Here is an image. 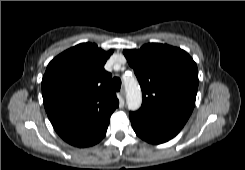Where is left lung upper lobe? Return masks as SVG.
I'll return each instance as SVG.
<instances>
[{"label":"left lung upper lobe","mask_w":245,"mask_h":170,"mask_svg":"<svg viewBox=\"0 0 245 170\" xmlns=\"http://www.w3.org/2000/svg\"><path fill=\"white\" fill-rule=\"evenodd\" d=\"M142 89L138 112L179 126L190 117L198 88V69L187 52L150 43L123 51Z\"/></svg>","instance_id":"5c2ea615"}]
</instances>
